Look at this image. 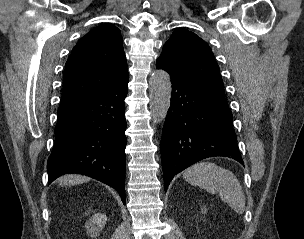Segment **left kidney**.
Here are the masks:
<instances>
[{"mask_svg":"<svg viewBox=\"0 0 304 239\" xmlns=\"http://www.w3.org/2000/svg\"><path fill=\"white\" fill-rule=\"evenodd\" d=\"M201 212H202V213H206V210H205V209H202Z\"/></svg>","mask_w":304,"mask_h":239,"instance_id":"left-kidney-1","label":"left kidney"}]
</instances>
